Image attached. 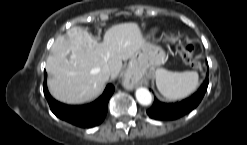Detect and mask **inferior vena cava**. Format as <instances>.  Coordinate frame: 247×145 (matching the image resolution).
<instances>
[{
	"label": "inferior vena cava",
	"mask_w": 247,
	"mask_h": 145,
	"mask_svg": "<svg viewBox=\"0 0 247 145\" xmlns=\"http://www.w3.org/2000/svg\"><path fill=\"white\" fill-rule=\"evenodd\" d=\"M103 73H104L105 75H107V76L110 75V72H109V69H108V68H104V69H103Z\"/></svg>",
	"instance_id": "602c4592"
}]
</instances>
